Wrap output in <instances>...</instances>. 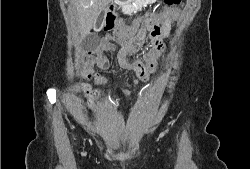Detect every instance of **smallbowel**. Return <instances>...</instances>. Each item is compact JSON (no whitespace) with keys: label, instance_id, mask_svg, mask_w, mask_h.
I'll use <instances>...</instances> for the list:
<instances>
[{"label":"small bowel","instance_id":"1","mask_svg":"<svg viewBox=\"0 0 250 169\" xmlns=\"http://www.w3.org/2000/svg\"><path fill=\"white\" fill-rule=\"evenodd\" d=\"M134 31L135 25L132 28L124 27L123 30L118 31L115 34H108L102 38L98 47L92 51L90 55V63L88 65V77L96 85H104L106 80L94 72L92 65L97 63L100 66H108L109 62L107 57L103 58L102 60H99V57L105 54L106 51L114 49L116 44L121 46L117 54V60L121 67L132 69L135 72V75L142 80H147L150 75L157 72L158 62L160 61L163 52V38L169 37L170 22L164 21L162 23V28L159 35L153 38L154 48L146 52L144 55L146 67L140 60L134 63H131L127 60V55L129 53L137 52L142 44L141 43L140 45H137L135 44V39L130 38Z\"/></svg>","mask_w":250,"mask_h":169}]
</instances>
